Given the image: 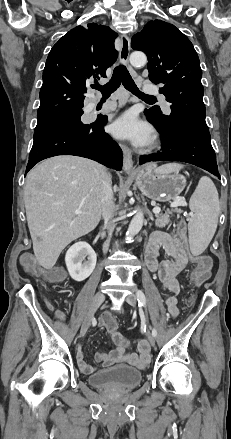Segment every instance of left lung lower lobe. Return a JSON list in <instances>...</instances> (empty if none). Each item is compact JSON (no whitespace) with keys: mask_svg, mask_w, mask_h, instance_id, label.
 Masks as SVG:
<instances>
[{"mask_svg":"<svg viewBox=\"0 0 231 439\" xmlns=\"http://www.w3.org/2000/svg\"><path fill=\"white\" fill-rule=\"evenodd\" d=\"M147 119L159 131L162 148L157 153L141 156L140 164L150 161H181L201 167L220 179L209 131L179 121L161 129Z\"/></svg>","mask_w":231,"mask_h":439,"instance_id":"0a47b994","label":"left lung lower lobe"}]
</instances>
